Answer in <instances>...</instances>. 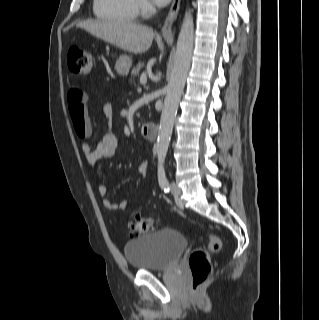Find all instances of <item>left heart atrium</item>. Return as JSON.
Returning a JSON list of instances; mask_svg holds the SVG:
<instances>
[{
    "instance_id": "left-heart-atrium-1",
    "label": "left heart atrium",
    "mask_w": 319,
    "mask_h": 320,
    "mask_svg": "<svg viewBox=\"0 0 319 320\" xmlns=\"http://www.w3.org/2000/svg\"><path fill=\"white\" fill-rule=\"evenodd\" d=\"M170 0H154V2L157 4V5H160V6H164L166 4H168Z\"/></svg>"
}]
</instances>
